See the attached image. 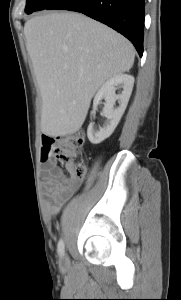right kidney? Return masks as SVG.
<instances>
[{
    "mask_svg": "<svg viewBox=\"0 0 181 300\" xmlns=\"http://www.w3.org/2000/svg\"><path fill=\"white\" fill-rule=\"evenodd\" d=\"M134 85V77L128 74H118L107 80L94 97V106H97L102 99L105 100L102 115L107 119L103 127L98 131L94 130V123H90L87 129V136L92 144H99L114 132L129 101ZM117 88H123L121 94L115 93ZM118 100L119 106L114 108Z\"/></svg>",
    "mask_w": 181,
    "mask_h": 300,
    "instance_id": "right-kidney-1",
    "label": "right kidney"
}]
</instances>
